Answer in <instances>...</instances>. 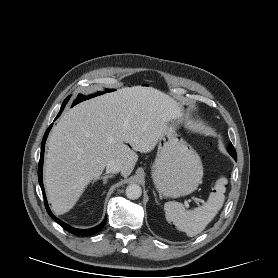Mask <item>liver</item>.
Segmentation results:
<instances>
[{"label":"liver","instance_id":"obj_1","mask_svg":"<svg viewBox=\"0 0 278 278\" xmlns=\"http://www.w3.org/2000/svg\"><path fill=\"white\" fill-rule=\"evenodd\" d=\"M180 114L173 98L143 86L124 87L69 109L47 142L44 182L55 213L71 210L109 161L120 162L121 175L129 176L138 160L136 151H152Z\"/></svg>","mask_w":278,"mask_h":278}]
</instances>
